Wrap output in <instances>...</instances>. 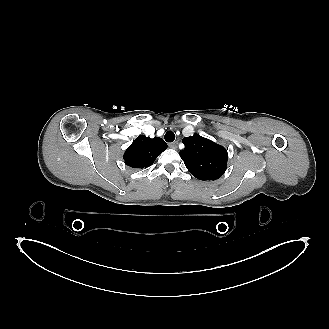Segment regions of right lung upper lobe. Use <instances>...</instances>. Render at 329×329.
I'll return each instance as SVG.
<instances>
[{
    "label": "right lung upper lobe",
    "instance_id": "1",
    "mask_svg": "<svg viewBox=\"0 0 329 329\" xmlns=\"http://www.w3.org/2000/svg\"><path fill=\"white\" fill-rule=\"evenodd\" d=\"M166 148L167 144L163 139L140 135L125 151L124 160L132 168L149 167Z\"/></svg>",
    "mask_w": 329,
    "mask_h": 329
}]
</instances>
